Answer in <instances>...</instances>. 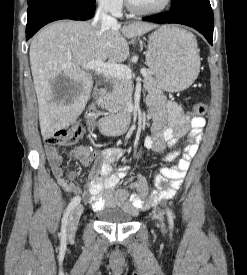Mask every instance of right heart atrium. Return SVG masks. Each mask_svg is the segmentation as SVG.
<instances>
[{"mask_svg": "<svg viewBox=\"0 0 247 275\" xmlns=\"http://www.w3.org/2000/svg\"><path fill=\"white\" fill-rule=\"evenodd\" d=\"M96 3L103 10L111 14H119L123 8V0H96Z\"/></svg>", "mask_w": 247, "mask_h": 275, "instance_id": "d8ad5b80", "label": "right heart atrium"}]
</instances>
